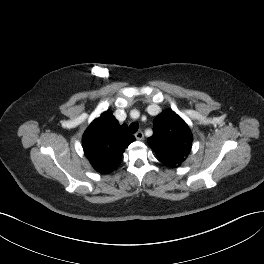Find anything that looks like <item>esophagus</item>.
Returning <instances> with one entry per match:
<instances>
[{
	"instance_id": "obj_1",
	"label": "esophagus",
	"mask_w": 264,
	"mask_h": 264,
	"mask_svg": "<svg viewBox=\"0 0 264 264\" xmlns=\"http://www.w3.org/2000/svg\"><path fill=\"white\" fill-rule=\"evenodd\" d=\"M135 138L139 141L143 140L144 139V134L142 131H138L136 134H135Z\"/></svg>"
}]
</instances>
